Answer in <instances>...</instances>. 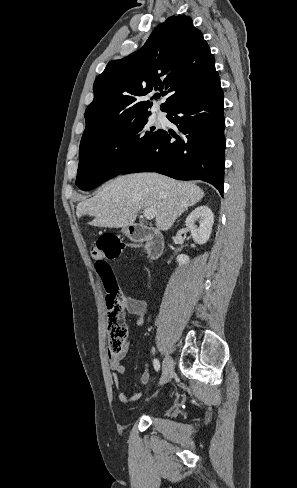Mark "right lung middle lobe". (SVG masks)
<instances>
[{
  "label": "right lung middle lobe",
  "mask_w": 297,
  "mask_h": 488,
  "mask_svg": "<svg viewBox=\"0 0 297 488\" xmlns=\"http://www.w3.org/2000/svg\"><path fill=\"white\" fill-rule=\"evenodd\" d=\"M148 117L104 135L81 139L75 182L81 190L94 189L136 161L161 131L146 126Z\"/></svg>",
  "instance_id": "right-lung-middle-lobe-1"
}]
</instances>
